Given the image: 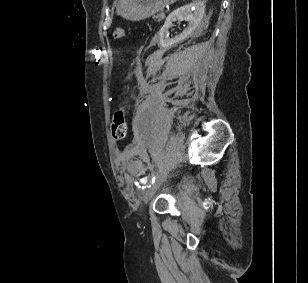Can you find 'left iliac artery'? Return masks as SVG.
<instances>
[{
    "instance_id": "obj_1",
    "label": "left iliac artery",
    "mask_w": 308,
    "mask_h": 283,
    "mask_svg": "<svg viewBox=\"0 0 308 283\" xmlns=\"http://www.w3.org/2000/svg\"><path fill=\"white\" fill-rule=\"evenodd\" d=\"M155 178H156V175H155V173L153 172V173H152V178H151V180H150V183H149L148 187H151V185L155 182Z\"/></svg>"
}]
</instances>
